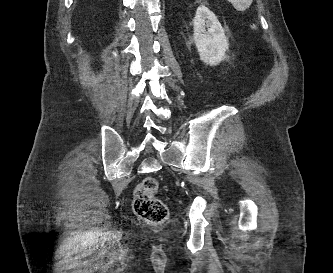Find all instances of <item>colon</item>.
Wrapping results in <instances>:
<instances>
[{
  "mask_svg": "<svg viewBox=\"0 0 333 273\" xmlns=\"http://www.w3.org/2000/svg\"><path fill=\"white\" fill-rule=\"evenodd\" d=\"M157 189V180L153 177H147L137 185L134 192V212L150 224H161L168 218L166 205L155 195Z\"/></svg>",
  "mask_w": 333,
  "mask_h": 273,
  "instance_id": "obj_1",
  "label": "colon"
}]
</instances>
